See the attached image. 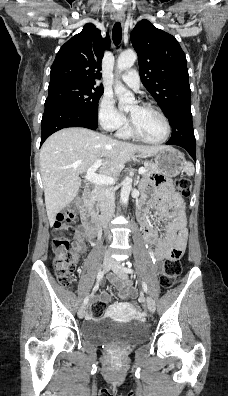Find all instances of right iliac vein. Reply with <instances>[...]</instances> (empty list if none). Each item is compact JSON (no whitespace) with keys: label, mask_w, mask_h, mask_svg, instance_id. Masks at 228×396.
I'll list each match as a JSON object with an SVG mask.
<instances>
[{"label":"right iliac vein","mask_w":228,"mask_h":396,"mask_svg":"<svg viewBox=\"0 0 228 396\" xmlns=\"http://www.w3.org/2000/svg\"><path fill=\"white\" fill-rule=\"evenodd\" d=\"M112 266V260L109 256H105L102 262V268L105 272L109 271ZM86 307L82 305L78 310V317L82 319L85 316Z\"/></svg>","instance_id":"obj_1"}]
</instances>
